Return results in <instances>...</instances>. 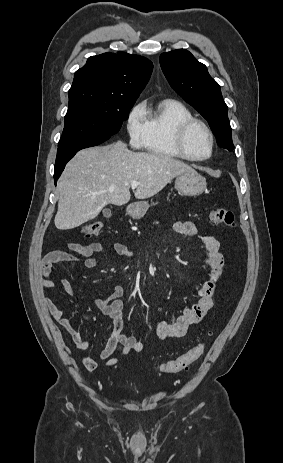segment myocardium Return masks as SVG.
Returning a JSON list of instances; mask_svg holds the SVG:
<instances>
[{"instance_id":"f54148a6","label":"myocardium","mask_w":283,"mask_h":463,"mask_svg":"<svg viewBox=\"0 0 283 463\" xmlns=\"http://www.w3.org/2000/svg\"><path fill=\"white\" fill-rule=\"evenodd\" d=\"M196 125L201 126L208 134L210 138V153L204 157H197L190 154L186 146V138L188 132ZM175 145L179 153L187 160L194 161V162H202L210 159L214 152H215V135L211 129V127L203 120L198 118H191L185 122H183L177 129L175 135Z\"/></svg>"}]
</instances>
